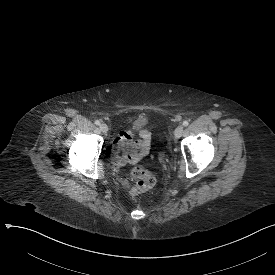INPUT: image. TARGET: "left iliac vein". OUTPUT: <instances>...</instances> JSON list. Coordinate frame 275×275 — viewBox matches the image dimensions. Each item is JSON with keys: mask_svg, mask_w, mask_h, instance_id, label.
I'll return each mask as SVG.
<instances>
[{"mask_svg": "<svg viewBox=\"0 0 275 275\" xmlns=\"http://www.w3.org/2000/svg\"><path fill=\"white\" fill-rule=\"evenodd\" d=\"M184 132V127L182 125H179L176 129H175V138L178 139L182 136Z\"/></svg>", "mask_w": 275, "mask_h": 275, "instance_id": "left-iliac-vein-1", "label": "left iliac vein"}]
</instances>
